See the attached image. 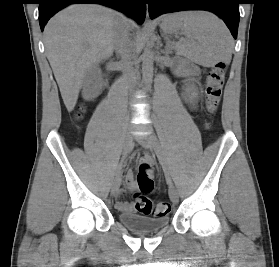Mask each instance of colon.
I'll use <instances>...</instances> for the list:
<instances>
[{"instance_id":"1","label":"colon","mask_w":279,"mask_h":267,"mask_svg":"<svg viewBox=\"0 0 279 267\" xmlns=\"http://www.w3.org/2000/svg\"><path fill=\"white\" fill-rule=\"evenodd\" d=\"M226 76V63H217L209 72L205 89V108L209 115L216 112ZM83 110V109H82ZM78 117L81 116L79 113ZM137 184L140 192L135 195V210L144 215L154 217L164 216L170 211V204L166 201L153 203L146 194L154 188L152 165L150 162L142 161L139 165Z\"/></svg>"}]
</instances>
